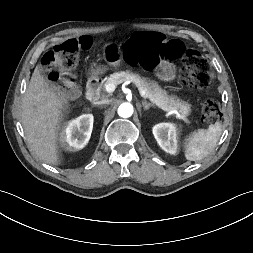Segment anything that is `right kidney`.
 Wrapping results in <instances>:
<instances>
[{"label": "right kidney", "mask_w": 253, "mask_h": 253, "mask_svg": "<svg viewBox=\"0 0 253 253\" xmlns=\"http://www.w3.org/2000/svg\"><path fill=\"white\" fill-rule=\"evenodd\" d=\"M93 122L92 114H84L69 121L60 133L61 146L68 151H77L85 147L92 133Z\"/></svg>", "instance_id": "ca27d5eb"}]
</instances>
